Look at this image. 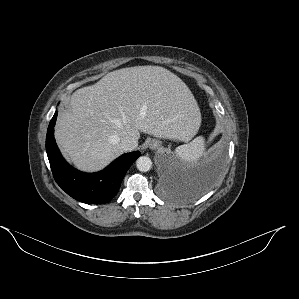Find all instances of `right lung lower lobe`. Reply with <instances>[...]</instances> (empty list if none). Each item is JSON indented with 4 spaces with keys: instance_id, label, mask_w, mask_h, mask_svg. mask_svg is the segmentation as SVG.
Here are the masks:
<instances>
[{
    "instance_id": "obj_1",
    "label": "right lung lower lobe",
    "mask_w": 299,
    "mask_h": 299,
    "mask_svg": "<svg viewBox=\"0 0 299 299\" xmlns=\"http://www.w3.org/2000/svg\"><path fill=\"white\" fill-rule=\"evenodd\" d=\"M56 118L57 112L49 123L46 136V151L55 181L68 195L80 202L104 204L110 201L117 194L127 170L140 156V152L123 154L101 172H80L63 159L56 145Z\"/></svg>"
}]
</instances>
